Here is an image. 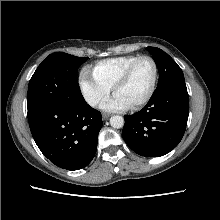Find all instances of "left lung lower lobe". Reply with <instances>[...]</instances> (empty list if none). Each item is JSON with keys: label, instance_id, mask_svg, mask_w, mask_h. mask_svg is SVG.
<instances>
[{"label": "left lung lower lobe", "instance_id": "left-lung-lower-lobe-1", "mask_svg": "<svg viewBox=\"0 0 220 220\" xmlns=\"http://www.w3.org/2000/svg\"><path fill=\"white\" fill-rule=\"evenodd\" d=\"M189 98L185 81L154 91L139 112L126 115L122 136L137 154L158 157L181 141L188 120Z\"/></svg>", "mask_w": 220, "mask_h": 220}]
</instances>
